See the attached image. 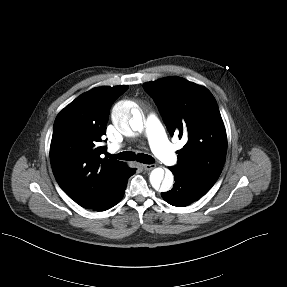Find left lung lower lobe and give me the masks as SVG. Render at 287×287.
<instances>
[{"label":"left lung lower lobe","mask_w":287,"mask_h":287,"mask_svg":"<svg viewBox=\"0 0 287 287\" xmlns=\"http://www.w3.org/2000/svg\"><path fill=\"white\" fill-rule=\"evenodd\" d=\"M170 170L174 175L175 184L170 191L161 193L163 199L169 204L177 207L187 206L209 191L195 182L187 173L171 168Z\"/></svg>","instance_id":"left-lung-lower-lobe-1"}]
</instances>
